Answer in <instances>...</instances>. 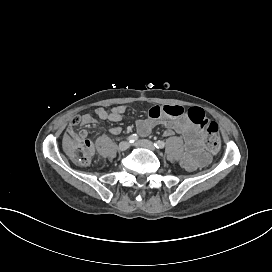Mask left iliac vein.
<instances>
[{
	"mask_svg": "<svg viewBox=\"0 0 272 272\" xmlns=\"http://www.w3.org/2000/svg\"><path fill=\"white\" fill-rule=\"evenodd\" d=\"M135 146L142 147V148H147V149H149L151 151H155L156 150V147H155L154 143H152L149 140H145V139L137 141L135 143Z\"/></svg>",
	"mask_w": 272,
	"mask_h": 272,
	"instance_id": "left-iliac-vein-1",
	"label": "left iliac vein"
}]
</instances>
